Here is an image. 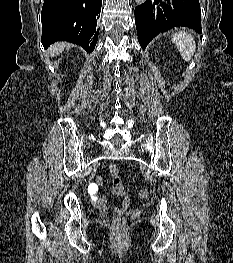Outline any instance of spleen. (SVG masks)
I'll return each instance as SVG.
<instances>
[{"mask_svg":"<svg viewBox=\"0 0 233 263\" xmlns=\"http://www.w3.org/2000/svg\"><path fill=\"white\" fill-rule=\"evenodd\" d=\"M172 41L176 44L182 58L189 62L196 49L192 35L186 32H178L172 36Z\"/></svg>","mask_w":233,"mask_h":263,"instance_id":"3e777b00","label":"spleen"}]
</instances>
